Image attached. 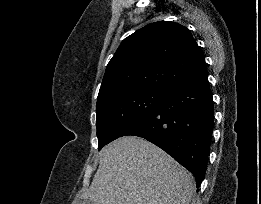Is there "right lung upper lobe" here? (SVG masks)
Returning <instances> with one entry per match:
<instances>
[{"mask_svg": "<svg viewBox=\"0 0 261 204\" xmlns=\"http://www.w3.org/2000/svg\"><path fill=\"white\" fill-rule=\"evenodd\" d=\"M205 64L190 31L158 21L124 39L106 67L98 100L121 90L165 92Z\"/></svg>", "mask_w": 261, "mask_h": 204, "instance_id": "1", "label": "right lung upper lobe"}]
</instances>
